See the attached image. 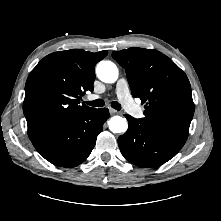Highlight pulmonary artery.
I'll list each match as a JSON object with an SVG mask.
<instances>
[{
	"mask_svg": "<svg viewBox=\"0 0 221 221\" xmlns=\"http://www.w3.org/2000/svg\"><path fill=\"white\" fill-rule=\"evenodd\" d=\"M116 94L122 105L126 108L129 109L130 112L139 117L141 116L140 110L136 107V105L133 102V99L130 95L129 92V87H128V82L124 78H120L117 83H116ZM98 98L97 95H90L89 99L93 100Z\"/></svg>",
	"mask_w": 221,
	"mask_h": 221,
	"instance_id": "1",
	"label": "pulmonary artery"
}]
</instances>
